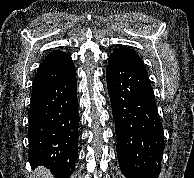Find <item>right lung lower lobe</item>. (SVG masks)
<instances>
[{
  "label": "right lung lower lobe",
  "mask_w": 194,
  "mask_h": 178,
  "mask_svg": "<svg viewBox=\"0 0 194 178\" xmlns=\"http://www.w3.org/2000/svg\"><path fill=\"white\" fill-rule=\"evenodd\" d=\"M28 121L30 165H43L56 178H69L78 156L75 69L60 80L33 86Z\"/></svg>",
  "instance_id": "1"
}]
</instances>
